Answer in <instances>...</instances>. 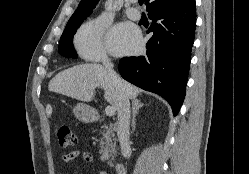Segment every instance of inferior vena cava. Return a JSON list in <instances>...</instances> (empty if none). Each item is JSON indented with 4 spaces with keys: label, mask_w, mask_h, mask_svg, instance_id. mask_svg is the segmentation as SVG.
Segmentation results:
<instances>
[{
    "label": "inferior vena cava",
    "mask_w": 249,
    "mask_h": 174,
    "mask_svg": "<svg viewBox=\"0 0 249 174\" xmlns=\"http://www.w3.org/2000/svg\"><path fill=\"white\" fill-rule=\"evenodd\" d=\"M104 67L108 70L111 79L116 86L118 92V122H117V135L120 142L121 152L124 157H127L129 146V125H130V102L125 94L119 77L113 70L112 62L105 58L102 60Z\"/></svg>",
    "instance_id": "obj_1"
}]
</instances>
